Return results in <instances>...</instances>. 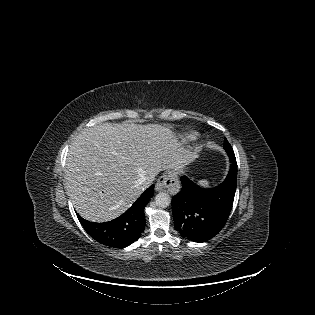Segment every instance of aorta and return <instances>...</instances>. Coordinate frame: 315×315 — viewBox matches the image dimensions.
<instances>
[{"label":"aorta","instance_id":"aorta-1","mask_svg":"<svg viewBox=\"0 0 315 315\" xmlns=\"http://www.w3.org/2000/svg\"><path fill=\"white\" fill-rule=\"evenodd\" d=\"M171 198L167 193L161 192L155 196V204L159 208H166L170 205Z\"/></svg>","mask_w":315,"mask_h":315}]
</instances>
